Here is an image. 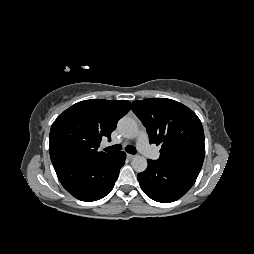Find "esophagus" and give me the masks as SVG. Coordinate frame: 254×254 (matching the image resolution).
<instances>
[{"label":"esophagus","instance_id":"obj_1","mask_svg":"<svg viewBox=\"0 0 254 254\" xmlns=\"http://www.w3.org/2000/svg\"><path fill=\"white\" fill-rule=\"evenodd\" d=\"M126 156H127V158H128L129 160H131V159H133V158L135 157V155H133V154H127Z\"/></svg>","mask_w":254,"mask_h":254}]
</instances>
